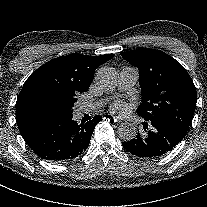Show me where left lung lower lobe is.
<instances>
[{"instance_id":"0a47b994","label":"left lung lower lobe","mask_w":207,"mask_h":207,"mask_svg":"<svg viewBox=\"0 0 207 207\" xmlns=\"http://www.w3.org/2000/svg\"><path fill=\"white\" fill-rule=\"evenodd\" d=\"M146 135L138 134L135 139L122 142L126 151L145 158H154L166 154L172 150L184 136L168 126L160 123L143 122Z\"/></svg>"}]
</instances>
